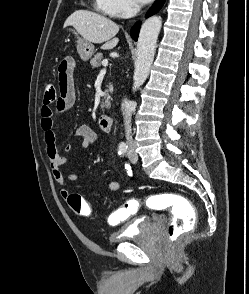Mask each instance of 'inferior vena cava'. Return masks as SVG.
Listing matches in <instances>:
<instances>
[{"instance_id":"1","label":"inferior vena cava","mask_w":249,"mask_h":294,"mask_svg":"<svg viewBox=\"0 0 249 294\" xmlns=\"http://www.w3.org/2000/svg\"><path fill=\"white\" fill-rule=\"evenodd\" d=\"M121 111L124 118V127H125V137L127 144L132 147L133 146V139L131 136V115H132V104L127 99L121 104Z\"/></svg>"}]
</instances>
